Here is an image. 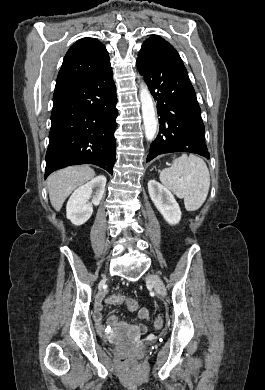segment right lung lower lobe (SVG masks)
<instances>
[{"label": "right lung lower lobe", "instance_id": "1", "mask_svg": "<svg viewBox=\"0 0 265 390\" xmlns=\"http://www.w3.org/2000/svg\"><path fill=\"white\" fill-rule=\"evenodd\" d=\"M117 95L110 63L78 81L55 87L45 178L77 164L113 173Z\"/></svg>", "mask_w": 265, "mask_h": 390}]
</instances>
